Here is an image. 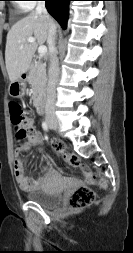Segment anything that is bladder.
Masks as SVG:
<instances>
[{
  "label": "bladder",
  "mask_w": 133,
  "mask_h": 253,
  "mask_svg": "<svg viewBox=\"0 0 133 253\" xmlns=\"http://www.w3.org/2000/svg\"><path fill=\"white\" fill-rule=\"evenodd\" d=\"M26 197L31 202L47 209L55 208L62 202V195L59 192L49 191L43 188L29 191Z\"/></svg>",
  "instance_id": "bladder-1"
}]
</instances>
